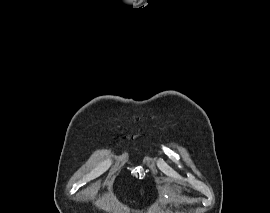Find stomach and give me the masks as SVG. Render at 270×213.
Masks as SVG:
<instances>
[{"instance_id":"1","label":"stomach","mask_w":270,"mask_h":213,"mask_svg":"<svg viewBox=\"0 0 270 213\" xmlns=\"http://www.w3.org/2000/svg\"><path fill=\"white\" fill-rule=\"evenodd\" d=\"M174 188H176V190H177V192L178 193H181L182 192V187L181 186H179V185H172Z\"/></svg>"}]
</instances>
